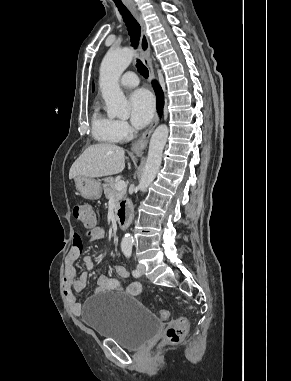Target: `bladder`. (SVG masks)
I'll list each match as a JSON object with an SVG mask.
<instances>
[{"label": "bladder", "mask_w": 291, "mask_h": 381, "mask_svg": "<svg viewBox=\"0 0 291 381\" xmlns=\"http://www.w3.org/2000/svg\"><path fill=\"white\" fill-rule=\"evenodd\" d=\"M82 319L99 337L115 340L131 350L143 348L161 325L146 306L128 294L91 298Z\"/></svg>", "instance_id": "1"}]
</instances>
